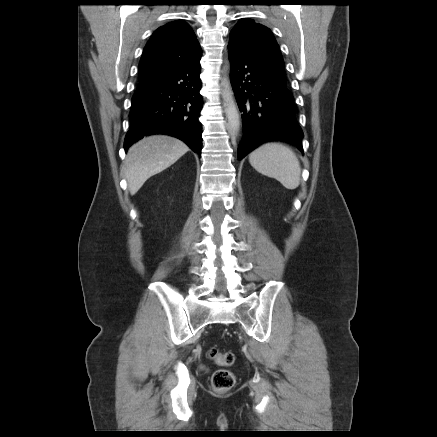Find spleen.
<instances>
[{
  "label": "spleen",
  "instance_id": "1",
  "mask_svg": "<svg viewBox=\"0 0 437 437\" xmlns=\"http://www.w3.org/2000/svg\"><path fill=\"white\" fill-rule=\"evenodd\" d=\"M249 162L259 173L278 180L286 189L300 184L301 167L295 153L280 143H266L249 155Z\"/></svg>",
  "mask_w": 437,
  "mask_h": 437
}]
</instances>
